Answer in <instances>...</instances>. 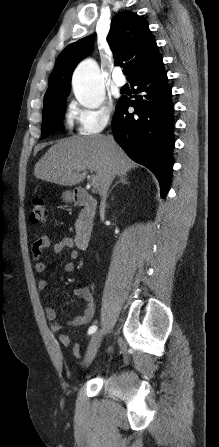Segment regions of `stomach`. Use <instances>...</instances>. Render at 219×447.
I'll use <instances>...</instances> for the list:
<instances>
[{"instance_id": "1", "label": "stomach", "mask_w": 219, "mask_h": 447, "mask_svg": "<svg viewBox=\"0 0 219 447\" xmlns=\"http://www.w3.org/2000/svg\"><path fill=\"white\" fill-rule=\"evenodd\" d=\"M62 198L67 202H71L75 200V193L71 191H66L63 193Z\"/></svg>"}]
</instances>
